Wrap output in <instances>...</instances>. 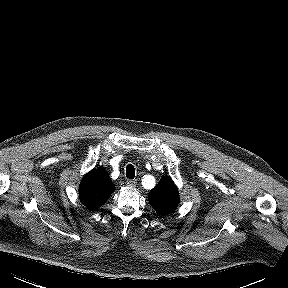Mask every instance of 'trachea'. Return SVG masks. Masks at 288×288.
Returning a JSON list of instances; mask_svg holds the SVG:
<instances>
[{
  "mask_svg": "<svg viewBox=\"0 0 288 288\" xmlns=\"http://www.w3.org/2000/svg\"><path fill=\"white\" fill-rule=\"evenodd\" d=\"M126 177L128 179H134L135 177V168L131 164L127 165L126 167Z\"/></svg>",
  "mask_w": 288,
  "mask_h": 288,
  "instance_id": "trachea-1",
  "label": "trachea"
}]
</instances>
